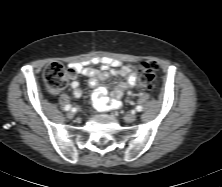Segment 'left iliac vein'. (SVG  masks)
I'll use <instances>...</instances> for the list:
<instances>
[{
    "label": "left iliac vein",
    "instance_id": "1",
    "mask_svg": "<svg viewBox=\"0 0 222 187\" xmlns=\"http://www.w3.org/2000/svg\"><path fill=\"white\" fill-rule=\"evenodd\" d=\"M137 119V115L136 114H126L124 116V120L126 122H134Z\"/></svg>",
    "mask_w": 222,
    "mask_h": 187
}]
</instances>
